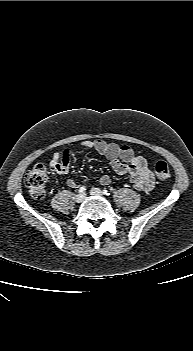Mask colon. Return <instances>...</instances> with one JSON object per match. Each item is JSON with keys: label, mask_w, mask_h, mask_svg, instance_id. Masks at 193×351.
I'll list each match as a JSON object with an SVG mask.
<instances>
[{"label": "colon", "mask_w": 193, "mask_h": 351, "mask_svg": "<svg viewBox=\"0 0 193 351\" xmlns=\"http://www.w3.org/2000/svg\"><path fill=\"white\" fill-rule=\"evenodd\" d=\"M154 171L158 180L167 182L171 178V171L164 161H157ZM48 171L45 165L37 164L25 177V185L34 199L41 200L46 195Z\"/></svg>", "instance_id": "obj_1"}]
</instances>
